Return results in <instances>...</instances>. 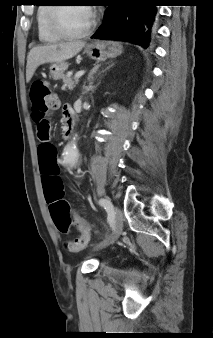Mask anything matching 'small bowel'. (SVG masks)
Wrapping results in <instances>:
<instances>
[{"label":"small bowel","mask_w":213,"mask_h":338,"mask_svg":"<svg viewBox=\"0 0 213 338\" xmlns=\"http://www.w3.org/2000/svg\"><path fill=\"white\" fill-rule=\"evenodd\" d=\"M71 112H72V107L69 104L63 107V115L65 117V122L68 120V117L71 115ZM44 122L49 123L48 119H45ZM44 145L50 146L49 143L43 142L41 147ZM39 166H40V174H41V179H42V184H43L45 202L48 205L49 212L52 217L51 207L54 204L59 203L64 200L62 196L63 182L60 176V165L57 162L54 154H52L49 157H46L44 153L40 150ZM55 225L58 228V230L63 233H68L70 231L69 220L65 227H59L56 223Z\"/></svg>","instance_id":"1"}]
</instances>
